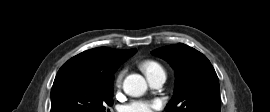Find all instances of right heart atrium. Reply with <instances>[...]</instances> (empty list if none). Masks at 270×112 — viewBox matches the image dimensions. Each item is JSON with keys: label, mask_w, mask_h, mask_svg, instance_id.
<instances>
[{"label": "right heart atrium", "mask_w": 270, "mask_h": 112, "mask_svg": "<svg viewBox=\"0 0 270 112\" xmlns=\"http://www.w3.org/2000/svg\"><path fill=\"white\" fill-rule=\"evenodd\" d=\"M123 75H124V71L120 72L116 80L117 84L121 83Z\"/></svg>", "instance_id": "obj_1"}]
</instances>
